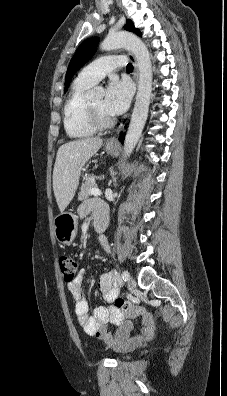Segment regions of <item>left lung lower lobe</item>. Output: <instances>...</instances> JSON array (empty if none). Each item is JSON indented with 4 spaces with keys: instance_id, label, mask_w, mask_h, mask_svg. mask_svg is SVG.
Segmentation results:
<instances>
[{
    "instance_id": "1",
    "label": "left lung lower lobe",
    "mask_w": 227,
    "mask_h": 396,
    "mask_svg": "<svg viewBox=\"0 0 227 396\" xmlns=\"http://www.w3.org/2000/svg\"><path fill=\"white\" fill-rule=\"evenodd\" d=\"M124 134L122 133L121 135H120V137H119V140L121 141V143H123L124 142Z\"/></svg>"
}]
</instances>
